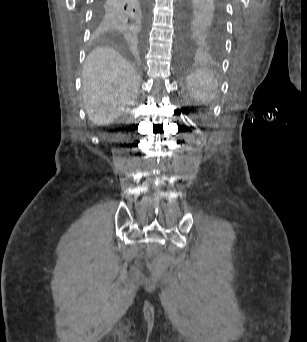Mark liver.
<instances>
[{
	"mask_svg": "<svg viewBox=\"0 0 307 342\" xmlns=\"http://www.w3.org/2000/svg\"><path fill=\"white\" fill-rule=\"evenodd\" d=\"M82 78L85 110L96 126L114 122L138 96L140 76L113 48L92 50L85 60Z\"/></svg>",
	"mask_w": 307,
	"mask_h": 342,
	"instance_id": "obj_1",
	"label": "liver"
}]
</instances>
